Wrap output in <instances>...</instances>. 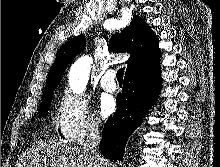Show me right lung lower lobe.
Wrapping results in <instances>:
<instances>
[{"mask_svg": "<svg viewBox=\"0 0 220 167\" xmlns=\"http://www.w3.org/2000/svg\"><path fill=\"white\" fill-rule=\"evenodd\" d=\"M160 65L145 66L125 75L117 95V111L103 129L100 150L104 157L123 160L128 137L156 102L161 88Z\"/></svg>", "mask_w": 220, "mask_h": 167, "instance_id": "1", "label": "right lung lower lobe"}]
</instances>
